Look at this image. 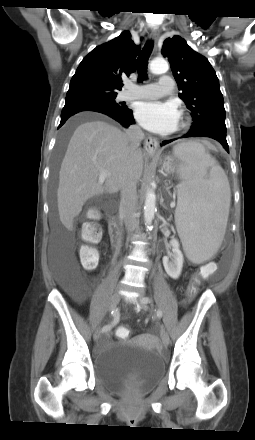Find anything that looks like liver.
I'll return each instance as SVG.
<instances>
[{
	"label": "liver",
	"instance_id": "obj_1",
	"mask_svg": "<svg viewBox=\"0 0 255 440\" xmlns=\"http://www.w3.org/2000/svg\"><path fill=\"white\" fill-rule=\"evenodd\" d=\"M108 173L105 184L99 182L101 171ZM143 171V153L131 154L129 141L119 128L92 120L74 131L59 171L57 206L61 223L73 228L84 203L103 193H117L126 178L137 183Z\"/></svg>",
	"mask_w": 255,
	"mask_h": 440
}]
</instances>
